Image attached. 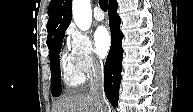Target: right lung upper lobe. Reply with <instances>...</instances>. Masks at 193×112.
Listing matches in <instances>:
<instances>
[{"label": "right lung upper lobe", "instance_id": "cb5924a9", "mask_svg": "<svg viewBox=\"0 0 193 112\" xmlns=\"http://www.w3.org/2000/svg\"><path fill=\"white\" fill-rule=\"evenodd\" d=\"M114 0H109V3ZM72 0H52L48 8L47 45L64 33L71 22Z\"/></svg>", "mask_w": 193, "mask_h": 112}]
</instances>
